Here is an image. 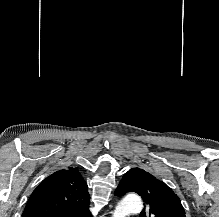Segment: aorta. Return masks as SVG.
I'll return each mask as SVG.
<instances>
[{
	"label": "aorta",
	"instance_id": "762f6f07",
	"mask_svg": "<svg viewBox=\"0 0 219 217\" xmlns=\"http://www.w3.org/2000/svg\"><path fill=\"white\" fill-rule=\"evenodd\" d=\"M143 208L142 200L137 195L125 197L116 207L113 217H126L130 213H136Z\"/></svg>",
	"mask_w": 219,
	"mask_h": 217
}]
</instances>
